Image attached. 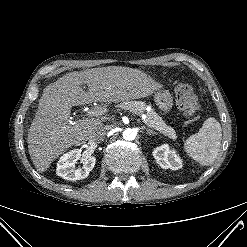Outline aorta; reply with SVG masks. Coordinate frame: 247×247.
Instances as JSON below:
<instances>
[{"label":"aorta","mask_w":247,"mask_h":247,"mask_svg":"<svg viewBox=\"0 0 247 247\" xmlns=\"http://www.w3.org/2000/svg\"><path fill=\"white\" fill-rule=\"evenodd\" d=\"M122 135L125 140L132 141L136 137V132L134 129L127 128L123 131Z\"/></svg>","instance_id":"762f6f07"}]
</instances>
